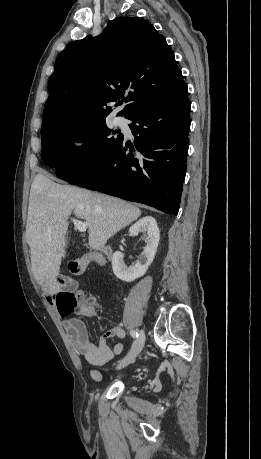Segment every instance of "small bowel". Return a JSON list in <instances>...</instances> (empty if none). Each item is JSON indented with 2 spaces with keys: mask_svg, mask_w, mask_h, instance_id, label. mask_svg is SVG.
<instances>
[{
  "mask_svg": "<svg viewBox=\"0 0 261 459\" xmlns=\"http://www.w3.org/2000/svg\"><path fill=\"white\" fill-rule=\"evenodd\" d=\"M92 261L98 263L101 266L106 265L104 257L98 253H91ZM62 282L61 289L50 293L46 292L48 301L54 306V308L60 313V303L62 297L67 294L75 293L78 284L76 281L69 278H61ZM88 317H94L95 313H86ZM63 327L73 344L74 348L90 365L92 366H104L111 361L115 356H119L123 351V340L125 338V331L120 326H114L101 336L97 342H93L85 323L74 316H63ZM115 338L118 342L111 348L108 345V339ZM91 376L95 380L101 379V373L97 370H91Z\"/></svg>",
  "mask_w": 261,
  "mask_h": 459,
  "instance_id": "1",
  "label": "small bowel"
}]
</instances>
